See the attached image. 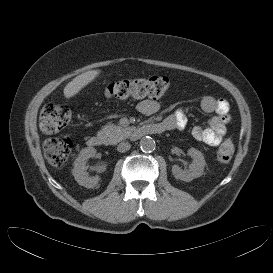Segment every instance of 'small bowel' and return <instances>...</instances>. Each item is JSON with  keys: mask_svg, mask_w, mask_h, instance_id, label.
Segmentation results:
<instances>
[{"mask_svg": "<svg viewBox=\"0 0 273 273\" xmlns=\"http://www.w3.org/2000/svg\"><path fill=\"white\" fill-rule=\"evenodd\" d=\"M138 110L147 117H153L159 112L156 101L146 99L138 104ZM201 108L207 113L215 115L209 120L207 126H196L192 130L194 138L209 146L217 147L222 142L227 132L229 122V103L226 99L205 96L201 100ZM167 130L182 131L187 126V117L182 109L175 111L162 122Z\"/></svg>", "mask_w": 273, "mask_h": 273, "instance_id": "1", "label": "small bowel"}]
</instances>
